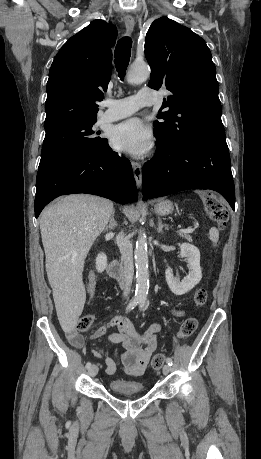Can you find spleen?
<instances>
[{"label":"spleen","instance_id":"spleen-1","mask_svg":"<svg viewBox=\"0 0 261 459\" xmlns=\"http://www.w3.org/2000/svg\"><path fill=\"white\" fill-rule=\"evenodd\" d=\"M209 237H210V240L213 241V242H217L218 239H219V232L216 228H211L209 230Z\"/></svg>","mask_w":261,"mask_h":459}]
</instances>
